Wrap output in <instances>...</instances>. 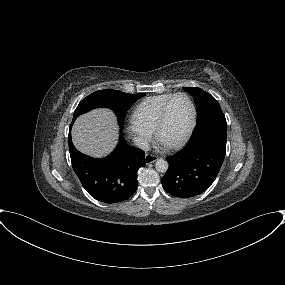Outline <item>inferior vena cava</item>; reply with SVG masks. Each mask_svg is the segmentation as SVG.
I'll return each instance as SVG.
<instances>
[{"label":"inferior vena cava","instance_id":"inferior-vena-cava-1","mask_svg":"<svg viewBox=\"0 0 285 285\" xmlns=\"http://www.w3.org/2000/svg\"><path fill=\"white\" fill-rule=\"evenodd\" d=\"M133 144L137 148H140L144 151H148L150 149V145L146 139L143 137H134L133 138Z\"/></svg>","mask_w":285,"mask_h":285}]
</instances>
